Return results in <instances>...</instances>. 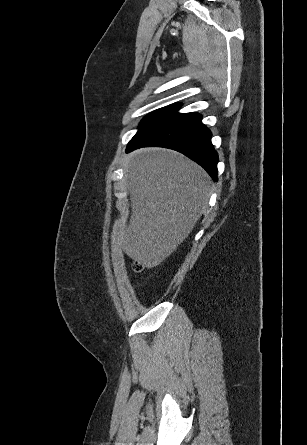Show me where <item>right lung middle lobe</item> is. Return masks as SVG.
I'll return each mask as SVG.
<instances>
[{
	"instance_id": "1",
	"label": "right lung middle lobe",
	"mask_w": 307,
	"mask_h": 445,
	"mask_svg": "<svg viewBox=\"0 0 307 445\" xmlns=\"http://www.w3.org/2000/svg\"><path fill=\"white\" fill-rule=\"evenodd\" d=\"M181 105L182 103H175L167 107L155 110L154 112L148 114L142 119L139 126V131L145 128L146 126L152 124L153 122L157 121L158 119L162 118L163 116L176 111Z\"/></svg>"
}]
</instances>
